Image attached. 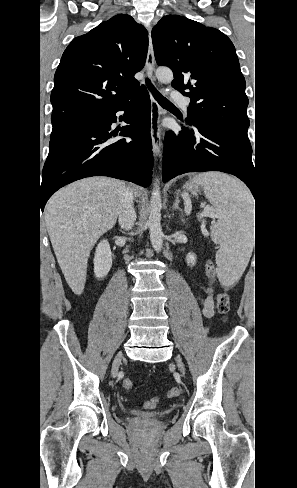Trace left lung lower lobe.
<instances>
[{
	"label": "left lung lower lobe",
	"instance_id": "left-lung-lower-lobe-1",
	"mask_svg": "<svg viewBox=\"0 0 297 488\" xmlns=\"http://www.w3.org/2000/svg\"><path fill=\"white\" fill-rule=\"evenodd\" d=\"M193 127L185 125L179 134L166 133L163 182L187 172L221 171L237 176L254 195L256 176L249 140L219 129Z\"/></svg>",
	"mask_w": 297,
	"mask_h": 488
}]
</instances>
